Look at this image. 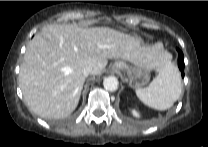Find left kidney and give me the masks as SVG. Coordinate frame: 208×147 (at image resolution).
I'll list each match as a JSON object with an SVG mask.
<instances>
[{"label": "left kidney", "instance_id": "left-kidney-1", "mask_svg": "<svg viewBox=\"0 0 208 147\" xmlns=\"http://www.w3.org/2000/svg\"><path fill=\"white\" fill-rule=\"evenodd\" d=\"M132 114L135 117H139V113L136 110H132Z\"/></svg>", "mask_w": 208, "mask_h": 147}]
</instances>
